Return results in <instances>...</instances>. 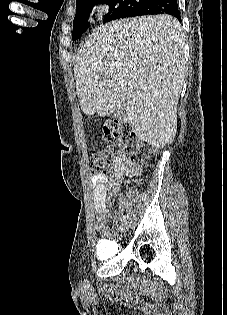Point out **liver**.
Masks as SVG:
<instances>
[{
	"mask_svg": "<svg viewBox=\"0 0 227 315\" xmlns=\"http://www.w3.org/2000/svg\"><path fill=\"white\" fill-rule=\"evenodd\" d=\"M185 72L182 27L170 15L102 25L79 47L74 62L83 113L104 117L124 108L136 135L157 148L175 137Z\"/></svg>",
	"mask_w": 227,
	"mask_h": 315,
	"instance_id": "obj_1",
	"label": "liver"
}]
</instances>
